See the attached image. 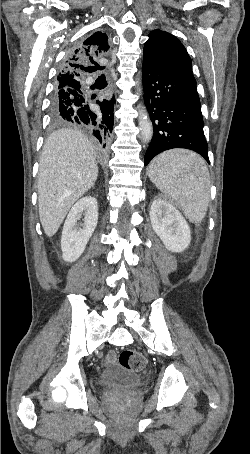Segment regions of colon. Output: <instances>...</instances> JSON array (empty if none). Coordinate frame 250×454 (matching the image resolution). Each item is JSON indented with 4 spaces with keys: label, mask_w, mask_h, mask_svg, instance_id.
I'll return each mask as SVG.
<instances>
[{
    "label": "colon",
    "mask_w": 250,
    "mask_h": 454,
    "mask_svg": "<svg viewBox=\"0 0 250 454\" xmlns=\"http://www.w3.org/2000/svg\"><path fill=\"white\" fill-rule=\"evenodd\" d=\"M119 363L125 369L139 372L145 367V358L136 350L125 349L119 354Z\"/></svg>",
    "instance_id": "1"
}]
</instances>
